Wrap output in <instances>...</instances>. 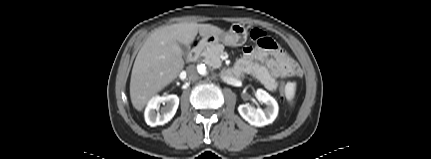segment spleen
<instances>
[{
    "instance_id": "spleen-1",
    "label": "spleen",
    "mask_w": 431,
    "mask_h": 159,
    "mask_svg": "<svg viewBox=\"0 0 431 159\" xmlns=\"http://www.w3.org/2000/svg\"><path fill=\"white\" fill-rule=\"evenodd\" d=\"M295 94V83H290L286 87V98L291 101Z\"/></svg>"
}]
</instances>
